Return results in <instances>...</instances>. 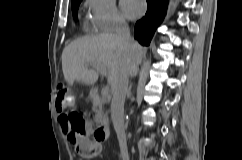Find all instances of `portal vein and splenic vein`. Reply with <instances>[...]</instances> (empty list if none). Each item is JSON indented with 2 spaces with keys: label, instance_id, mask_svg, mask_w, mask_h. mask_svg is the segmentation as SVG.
<instances>
[{
  "label": "portal vein and splenic vein",
  "instance_id": "obj_1",
  "mask_svg": "<svg viewBox=\"0 0 242 160\" xmlns=\"http://www.w3.org/2000/svg\"><path fill=\"white\" fill-rule=\"evenodd\" d=\"M91 66H92V65H91ZM92 67H93L94 69H96L97 71H99V72L101 73V75H103V76H107V69H106L104 66H101V65H93ZM108 92H109V86L106 85V86L102 89L101 93H102L103 96H106V95L108 94Z\"/></svg>",
  "mask_w": 242,
  "mask_h": 160
}]
</instances>
